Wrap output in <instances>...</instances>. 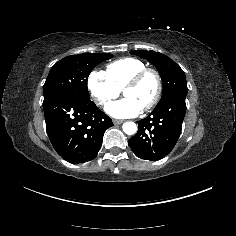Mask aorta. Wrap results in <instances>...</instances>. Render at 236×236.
I'll use <instances>...</instances> for the list:
<instances>
[{
	"label": "aorta",
	"instance_id": "obj_1",
	"mask_svg": "<svg viewBox=\"0 0 236 236\" xmlns=\"http://www.w3.org/2000/svg\"><path fill=\"white\" fill-rule=\"evenodd\" d=\"M122 129L127 135H133L137 131V126L134 122H126L123 124Z\"/></svg>",
	"mask_w": 236,
	"mask_h": 236
}]
</instances>
